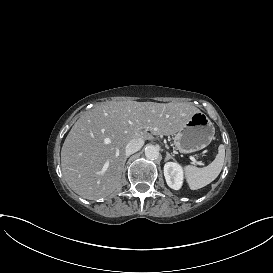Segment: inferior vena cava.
<instances>
[{
  "label": "inferior vena cava",
  "mask_w": 273,
  "mask_h": 273,
  "mask_svg": "<svg viewBox=\"0 0 273 273\" xmlns=\"http://www.w3.org/2000/svg\"><path fill=\"white\" fill-rule=\"evenodd\" d=\"M144 144V140L141 138H133L131 139L125 149L126 155H131L135 152H137Z\"/></svg>",
  "instance_id": "1"
}]
</instances>
